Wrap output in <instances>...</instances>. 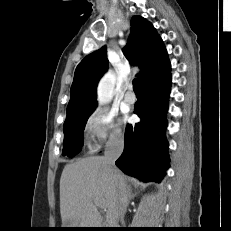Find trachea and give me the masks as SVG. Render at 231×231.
<instances>
[{
    "label": "trachea",
    "instance_id": "obj_1",
    "mask_svg": "<svg viewBox=\"0 0 231 231\" xmlns=\"http://www.w3.org/2000/svg\"><path fill=\"white\" fill-rule=\"evenodd\" d=\"M133 89L135 92H140V82L138 78L133 80Z\"/></svg>",
    "mask_w": 231,
    "mask_h": 231
}]
</instances>
